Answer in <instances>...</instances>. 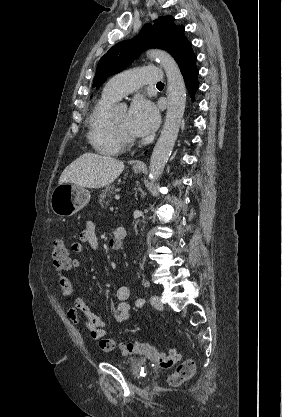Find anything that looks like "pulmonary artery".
<instances>
[{
	"label": "pulmonary artery",
	"mask_w": 282,
	"mask_h": 417,
	"mask_svg": "<svg viewBox=\"0 0 282 417\" xmlns=\"http://www.w3.org/2000/svg\"><path fill=\"white\" fill-rule=\"evenodd\" d=\"M161 65H141L140 69L128 70L113 77L105 86L103 96L118 100L146 83H160L163 77Z\"/></svg>",
	"instance_id": "e3ab8cb5"
}]
</instances>
